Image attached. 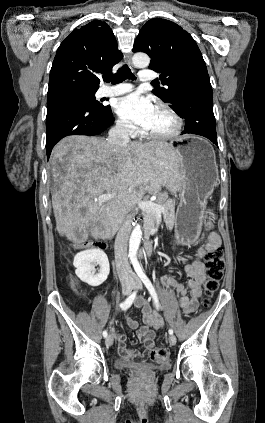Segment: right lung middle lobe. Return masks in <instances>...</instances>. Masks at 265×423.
Masks as SVG:
<instances>
[{"label":"right lung middle lobe","instance_id":"obj_1","mask_svg":"<svg viewBox=\"0 0 265 423\" xmlns=\"http://www.w3.org/2000/svg\"><path fill=\"white\" fill-rule=\"evenodd\" d=\"M96 91L97 90L76 89V90L68 91L67 93H73V94L81 95L82 97H84L86 99V101L88 103L93 105L95 108H99V109L108 108L109 106H104L99 101H97L95 99Z\"/></svg>","mask_w":265,"mask_h":423}]
</instances>
